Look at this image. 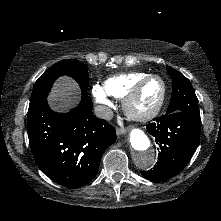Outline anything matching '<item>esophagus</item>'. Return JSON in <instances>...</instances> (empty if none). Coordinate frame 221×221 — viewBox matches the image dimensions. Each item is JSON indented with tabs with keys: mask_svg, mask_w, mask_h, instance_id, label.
<instances>
[{
	"mask_svg": "<svg viewBox=\"0 0 221 221\" xmlns=\"http://www.w3.org/2000/svg\"><path fill=\"white\" fill-rule=\"evenodd\" d=\"M116 132L117 135H122L126 133V129L124 127H117Z\"/></svg>",
	"mask_w": 221,
	"mask_h": 221,
	"instance_id": "34e87169",
	"label": "esophagus"
}]
</instances>
